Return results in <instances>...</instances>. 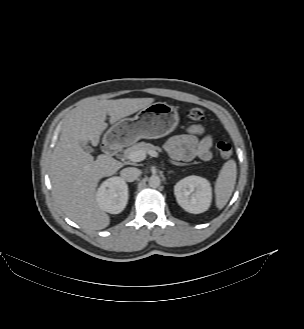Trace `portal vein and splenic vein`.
Here are the masks:
<instances>
[{"instance_id":"obj_1","label":"portal vein and splenic vein","mask_w":304,"mask_h":329,"mask_svg":"<svg viewBox=\"0 0 304 329\" xmlns=\"http://www.w3.org/2000/svg\"><path fill=\"white\" fill-rule=\"evenodd\" d=\"M147 154H149L152 157L158 156V153L155 150H149V151L138 150V151H133V152L129 153L127 155V158L133 162H140L146 158Z\"/></svg>"}]
</instances>
